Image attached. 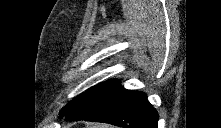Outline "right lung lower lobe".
I'll return each mask as SVG.
<instances>
[{
	"mask_svg": "<svg viewBox=\"0 0 221 128\" xmlns=\"http://www.w3.org/2000/svg\"><path fill=\"white\" fill-rule=\"evenodd\" d=\"M68 120L105 122L123 128H157L158 113L145 93L118 86L103 98L65 114Z\"/></svg>",
	"mask_w": 221,
	"mask_h": 128,
	"instance_id": "98d812e1",
	"label": "right lung lower lobe"
}]
</instances>
